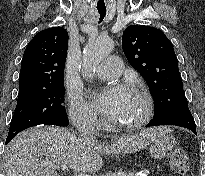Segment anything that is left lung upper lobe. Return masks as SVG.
Masks as SVG:
<instances>
[{"instance_id":"1","label":"left lung upper lobe","mask_w":205,"mask_h":176,"mask_svg":"<svg viewBox=\"0 0 205 176\" xmlns=\"http://www.w3.org/2000/svg\"><path fill=\"white\" fill-rule=\"evenodd\" d=\"M122 48L149 86L154 118L187 101L172 43L160 29L131 25L123 32Z\"/></svg>"}]
</instances>
